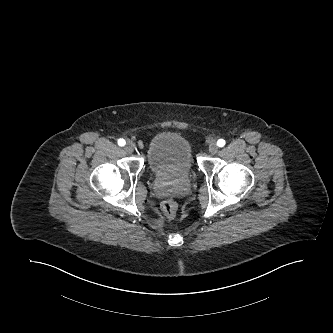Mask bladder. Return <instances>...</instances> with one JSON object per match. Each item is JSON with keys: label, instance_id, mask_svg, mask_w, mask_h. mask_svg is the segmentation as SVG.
I'll list each match as a JSON object with an SVG mask.
<instances>
[{"label": "bladder", "instance_id": "bladder-1", "mask_svg": "<svg viewBox=\"0 0 333 333\" xmlns=\"http://www.w3.org/2000/svg\"><path fill=\"white\" fill-rule=\"evenodd\" d=\"M147 165L154 177H188L194 169L191 145L177 133L161 132L155 135L148 145Z\"/></svg>", "mask_w": 333, "mask_h": 333}]
</instances>
